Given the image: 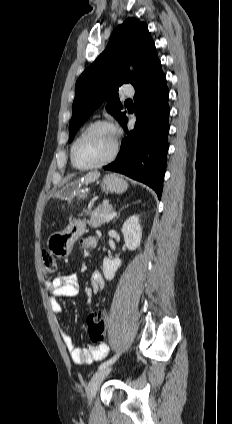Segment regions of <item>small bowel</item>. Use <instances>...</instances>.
I'll return each mask as SVG.
<instances>
[{"label": "small bowel", "instance_id": "1", "mask_svg": "<svg viewBox=\"0 0 232 424\" xmlns=\"http://www.w3.org/2000/svg\"><path fill=\"white\" fill-rule=\"evenodd\" d=\"M98 245V238L90 236L81 241L83 249H93ZM90 286L94 293H99L103 289V279L99 272H93L90 276ZM45 289L49 294L48 303L52 313L59 316L63 312L58 297H75L79 293L78 276L75 273L65 274L55 277L45 283ZM62 339L72 358L77 364H91L103 359L107 354V346L100 344L98 346H89L80 349L76 346L74 340L65 330H61Z\"/></svg>", "mask_w": 232, "mask_h": 424}]
</instances>
